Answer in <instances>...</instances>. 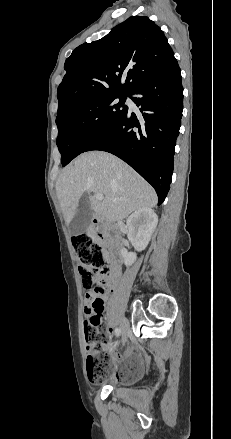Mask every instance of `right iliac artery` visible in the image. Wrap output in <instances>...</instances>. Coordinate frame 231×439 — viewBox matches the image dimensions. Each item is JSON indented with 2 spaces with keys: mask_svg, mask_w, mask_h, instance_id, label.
<instances>
[{
  "mask_svg": "<svg viewBox=\"0 0 231 439\" xmlns=\"http://www.w3.org/2000/svg\"><path fill=\"white\" fill-rule=\"evenodd\" d=\"M120 333H121L120 328H116L115 329V334H116L117 337L120 336Z\"/></svg>",
  "mask_w": 231,
  "mask_h": 439,
  "instance_id": "right-iliac-artery-1",
  "label": "right iliac artery"
}]
</instances>
